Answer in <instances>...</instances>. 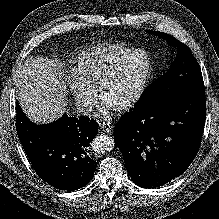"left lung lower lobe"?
Wrapping results in <instances>:
<instances>
[{"label": "left lung lower lobe", "mask_w": 219, "mask_h": 219, "mask_svg": "<svg viewBox=\"0 0 219 219\" xmlns=\"http://www.w3.org/2000/svg\"><path fill=\"white\" fill-rule=\"evenodd\" d=\"M205 117L204 91L123 115L114 140L134 183L156 188L183 174L198 153Z\"/></svg>", "instance_id": "0a47b994"}]
</instances>
